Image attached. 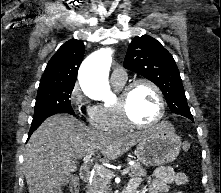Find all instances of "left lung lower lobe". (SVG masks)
Instances as JSON below:
<instances>
[{
	"instance_id": "obj_1",
	"label": "left lung lower lobe",
	"mask_w": 221,
	"mask_h": 193,
	"mask_svg": "<svg viewBox=\"0 0 221 193\" xmlns=\"http://www.w3.org/2000/svg\"><path fill=\"white\" fill-rule=\"evenodd\" d=\"M189 119L193 121V117H191V118H189Z\"/></svg>"
}]
</instances>
